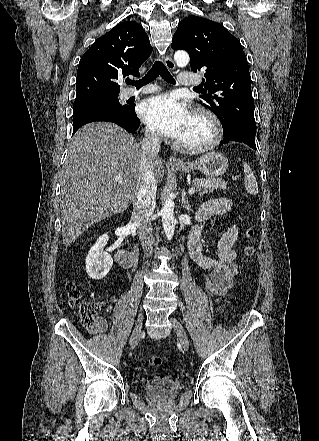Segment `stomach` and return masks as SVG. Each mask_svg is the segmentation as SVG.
Here are the masks:
<instances>
[{"label":"stomach","mask_w":319,"mask_h":441,"mask_svg":"<svg viewBox=\"0 0 319 441\" xmlns=\"http://www.w3.org/2000/svg\"><path fill=\"white\" fill-rule=\"evenodd\" d=\"M228 168V159L218 152H209L202 155L198 160L185 163L182 167H173L174 171L187 173L199 170L210 177L223 175Z\"/></svg>","instance_id":"0dacf381"}]
</instances>
